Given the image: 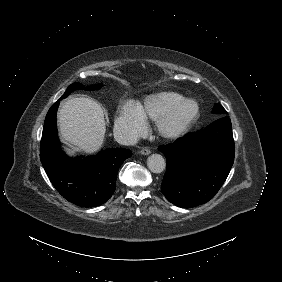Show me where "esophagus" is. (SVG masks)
Segmentation results:
<instances>
[{"label":"esophagus","mask_w":282,"mask_h":282,"mask_svg":"<svg viewBox=\"0 0 282 282\" xmlns=\"http://www.w3.org/2000/svg\"><path fill=\"white\" fill-rule=\"evenodd\" d=\"M140 153H141L142 155H149V154L151 153V151H150L149 149H147V148H144V149L141 150Z\"/></svg>","instance_id":"1"}]
</instances>
